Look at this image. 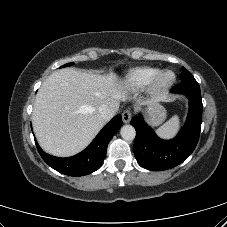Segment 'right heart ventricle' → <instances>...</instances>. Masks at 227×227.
Instances as JSON below:
<instances>
[{"mask_svg":"<svg viewBox=\"0 0 227 227\" xmlns=\"http://www.w3.org/2000/svg\"><path fill=\"white\" fill-rule=\"evenodd\" d=\"M160 72L154 67H136L127 72L124 77V85L131 89L142 88L152 82L154 77Z\"/></svg>","mask_w":227,"mask_h":227,"instance_id":"right-heart-ventricle-1","label":"right heart ventricle"}]
</instances>
